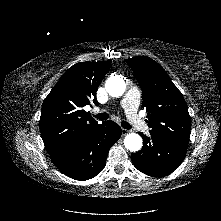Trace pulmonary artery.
<instances>
[{"label":"pulmonary artery","mask_w":221,"mask_h":221,"mask_svg":"<svg viewBox=\"0 0 221 221\" xmlns=\"http://www.w3.org/2000/svg\"><path fill=\"white\" fill-rule=\"evenodd\" d=\"M140 102V91L137 87H131L122 101L121 107L124 109L130 123L139 131H147L148 127L138 116L137 109Z\"/></svg>","instance_id":"e3ab8cb5"}]
</instances>
